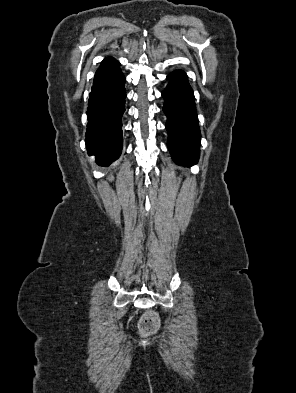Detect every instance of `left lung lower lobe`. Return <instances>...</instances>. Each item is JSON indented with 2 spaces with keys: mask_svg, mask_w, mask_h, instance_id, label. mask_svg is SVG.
Wrapping results in <instances>:
<instances>
[{
  "mask_svg": "<svg viewBox=\"0 0 296 393\" xmlns=\"http://www.w3.org/2000/svg\"><path fill=\"white\" fill-rule=\"evenodd\" d=\"M162 92L167 116L168 149L177 164L192 166L199 158L200 130L193 91L184 71H174Z\"/></svg>",
  "mask_w": 296,
  "mask_h": 393,
  "instance_id": "1",
  "label": "left lung lower lobe"
}]
</instances>
